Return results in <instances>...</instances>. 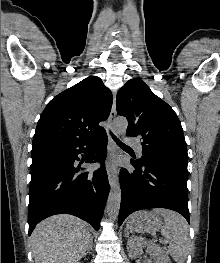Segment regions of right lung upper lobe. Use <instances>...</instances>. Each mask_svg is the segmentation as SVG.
<instances>
[{
	"instance_id": "1",
	"label": "right lung upper lobe",
	"mask_w": 220,
	"mask_h": 263,
	"mask_svg": "<svg viewBox=\"0 0 220 263\" xmlns=\"http://www.w3.org/2000/svg\"><path fill=\"white\" fill-rule=\"evenodd\" d=\"M112 93L97 76H89L55 96L38 121L32 149L86 143L105 133Z\"/></svg>"
}]
</instances>
